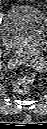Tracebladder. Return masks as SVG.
<instances>
[{"instance_id":"1","label":"bladder","mask_w":47,"mask_h":129,"mask_svg":"<svg viewBox=\"0 0 47 129\" xmlns=\"http://www.w3.org/2000/svg\"><path fill=\"white\" fill-rule=\"evenodd\" d=\"M46 27V15L42 9L33 4H19L5 15L1 37L9 49L25 52L44 41Z\"/></svg>"}]
</instances>
